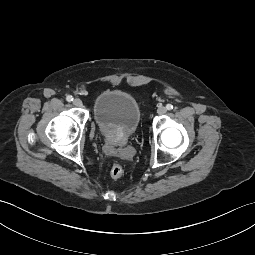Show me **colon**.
I'll use <instances>...</instances> for the list:
<instances>
[{
	"mask_svg": "<svg viewBox=\"0 0 255 255\" xmlns=\"http://www.w3.org/2000/svg\"><path fill=\"white\" fill-rule=\"evenodd\" d=\"M124 173L123 166L120 163H113L109 169V175L113 179L120 178Z\"/></svg>",
	"mask_w": 255,
	"mask_h": 255,
	"instance_id": "obj_1",
	"label": "colon"
}]
</instances>
